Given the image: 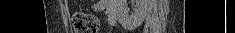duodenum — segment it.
Wrapping results in <instances>:
<instances>
[{
    "mask_svg": "<svg viewBox=\"0 0 235 33\" xmlns=\"http://www.w3.org/2000/svg\"><path fill=\"white\" fill-rule=\"evenodd\" d=\"M100 5L106 6L107 13L109 15V22L111 24L115 23L116 21V9L115 6L109 1H101L99 2Z\"/></svg>",
    "mask_w": 235,
    "mask_h": 33,
    "instance_id": "1",
    "label": "duodenum"
}]
</instances>
